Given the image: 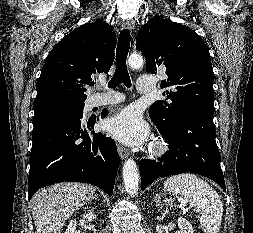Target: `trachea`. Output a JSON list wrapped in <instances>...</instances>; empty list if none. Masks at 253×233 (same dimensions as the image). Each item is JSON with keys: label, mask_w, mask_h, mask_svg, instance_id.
I'll use <instances>...</instances> for the list:
<instances>
[{"label": "trachea", "mask_w": 253, "mask_h": 233, "mask_svg": "<svg viewBox=\"0 0 253 233\" xmlns=\"http://www.w3.org/2000/svg\"><path fill=\"white\" fill-rule=\"evenodd\" d=\"M130 31L124 29L121 31L118 39L116 50V70L108 83L110 88H116L119 84L124 83L128 88L131 87V80L127 70L126 59L130 48Z\"/></svg>", "instance_id": "obj_1"}]
</instances>
